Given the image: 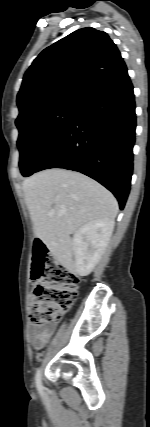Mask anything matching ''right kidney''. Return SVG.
<instances>
[{"label": "right kidney", "instance_id": "right-kidney-1", "mask_svg": "<svg viewBox=\"0 0 150 427\" xmlns=\"http://www.w3.org/2000/svg\"><path fill=\"white\" fill-rule=\"evenodd\" d=\"M114 220L89 222L73 236L75 271L80 276L89 275L101 259L114 229Z\"/></svg>", "mask_w": 150, "mask_h": 427}]
</instances>
